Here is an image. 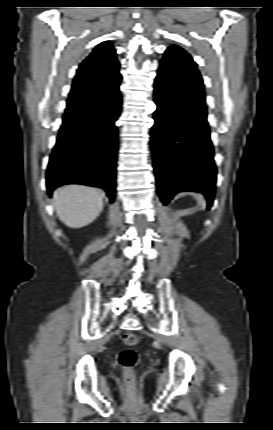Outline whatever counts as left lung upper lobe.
I'll list each match as a JSON object with an SVG mask.
<instances>
[{"label":"left lung upper lobe","instance_id":"obj_1","mask_svg":"<svg viewBox=\"0 0 273 430\" xmlns=\"http://www.w3.org/2000/svg\"><path fill=\"white\" fill-rule=\"evenodd\" d=\"M159 72L174 83L179 93L190 96L205 106V88L192 57L182 48L171 45L164 53Z\"/></svg>","mask_w":273,"mask_h":430}]
</instances>
